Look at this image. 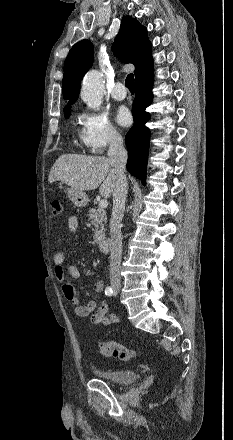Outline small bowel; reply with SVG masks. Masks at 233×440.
<instances>
[{
    "label": "small bowel",
    "mask_w": 233,
    "mask_h": 440,
    "mask_svg": "<svg viewBox=\"0 0 233 440\" xmlns=\"http://www.w3.org/2000/svg\"><path fill=\"white\" fill-rule=\"evenodd\" d=\"M78 227V220L75 215L68 217V230L74 234ZM55 264V276L62 285V292L65 299L72 305L74 313L78 317H90V324L109 326L119 322V318L115 314H108L109 306L106 301H101L97 304L96 301L91 300L87 303H81L73 286L66 281V274L75 280L80 279V270L73 264L65 263V248L57 251L53 256ZM93 289L97 293L104 290V283L100 279L93 281Z\"/></svg>",
    "instance_id": "c3829d8e"
}]
</instances>
